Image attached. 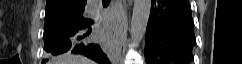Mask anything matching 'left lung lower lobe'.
<instances>
[{
  "label": "left lung lower lobe",
  "mask_w": 242,
  "mask_h": 64,
  "mask_svg": "<svg viewBox=\"0 0 242 64\" xmlns=\"http://www.w3.org/2000/svg\"><path fill=\"white\" fill-rule=\"evenodd\" d=\"M195 42L189 0H152L145 40L147 64H190Z\"/></svg>",
  "instance_id": "obj_1"
}]
</instances>
